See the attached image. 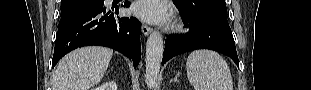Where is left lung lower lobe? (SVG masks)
<instances>
[{
    "label": "left lung lower lobe",
    "mask_w": 311,
    "mask_h": 90,
    "mask_svg": "<svg viewBox=\"0 0 311 90\" xmlns=\"http://www.w3.org/2000/svg\"><path fill=\"white\" fill-rule=\"evenodd\" d=\"M190 31L178 37L167 38L162 65L169 59L196 49H210L229 56L237 66L239 60L229 25L212 19L188 20Z\"/></svg>",
    "instance_id": "obj_1"
}]
</instances>
